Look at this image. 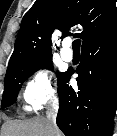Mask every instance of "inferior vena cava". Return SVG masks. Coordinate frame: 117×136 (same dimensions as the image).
Instances as JSON below:
<instances>
[{
  "mask_svg": "<svg viewBox=\"0 0 117 136\" xmlns=\"http://www.w3.org/2000/svg\"><path fill=\"white\" fill-rule=\"evenodd\" d=\"M58 108H59V103L55 99L50 104V107L48 108V111H47V119L53 125L55 130L58 129L57 126H56V117H57Z\"/></svg>",
  "mask_w": 117,
  "mask_h": 136,
  "instance_id": "inferior-vena-cava-1",
  "label": "inferior vena cava"
}]
</instances>
